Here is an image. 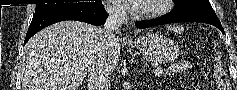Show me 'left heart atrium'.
Masks as SVG:
<instances>
[{"label":"left heart atrium","mask_w":237,"mask_h":90,"mask_svg":"<svg viewBox=\"0 0 237 90\" xmlns=\"http://www.w3.org/2000/svg\"><path fill=\"white\" fill-rule=\"evenodd\" d=\"M118 7H123L124 10H135L138 3H151L152 0H114Z\"/></svg>","instance_id":"left-heart-atrium-1"}]
</instances>
